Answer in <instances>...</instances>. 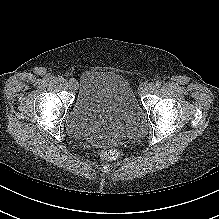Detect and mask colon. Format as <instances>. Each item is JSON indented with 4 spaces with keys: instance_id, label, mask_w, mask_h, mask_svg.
Returning a JSON list of instances; mask_svg holds the SVG:
<instances>
[{
    "instance_id": "colon-1",
    "label": "colon",
    "mask_w": 219,
    "mask_h": 219,
    "mask_svg": "<svg viewBox=\"0 0 219 219\" xmlns=\"http://www.w3.org/2000/svg\"><path fill=\"white\" fill-rule=\"evenodd\" d=\"M100 157L105 161H117L121 158V152L116 149H107L100 152Z\"/></svg>"
}]
</instances>
